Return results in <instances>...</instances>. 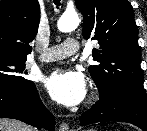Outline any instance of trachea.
Listing matches in <instances>:
<instances>
[{
	"mask_svg": "<svg viewBox=\"0 0 147 131\" xmlns=\"http://www.w3.org/2000/svg\"><path fill=\"white\" fill-rule=\"evenodd\" d=\"M56 6H60V0H54Z\"/></svg>",
	"mask_w": 147,
	"mask_h": 131,
	"instance_id": "obj_1",
	"label": "trachea"
}]
</instances>
